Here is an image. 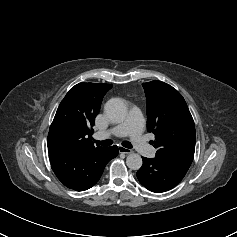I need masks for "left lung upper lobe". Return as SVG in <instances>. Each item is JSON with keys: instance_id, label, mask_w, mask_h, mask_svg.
Segmentation results:
<instances>
[{"instance_id": "left-lung-upper-lobe-1", "label": "left lung upper lobe", "mask_w": 237, "mask_h": 237, "mask_svg": "<svg viewBox=\"0 0 237 237\" xmlns=\"http://www.w3.org/2000/svg\"><path fill=\"white\" fill-rule=\"evenodd\" d=\"M147 99V129L155 134L156 158L188 168L195 151L193 118L182 95L167 83L142 84Z\"/></svg>"}]
</instances>
